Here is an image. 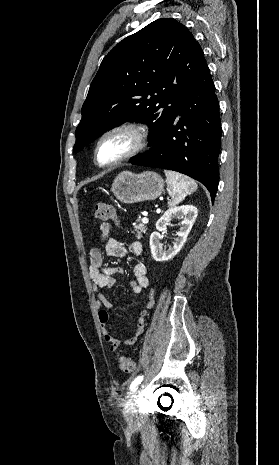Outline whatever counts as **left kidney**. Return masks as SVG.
<instances>
[{"mask_svg": "<svg viewBox=\"0 0 279 465\" xmlns=\"http://www.w3.org/2000/svg\"><path fill=\"white\" fill-rule=\"evenodd\" d=\"M198 210L193 205L174 206L169 208L156 222L158 232H153L150 236V249L154 260L158 262L168 261L173 258L183 247L190 233L192 226L197 218ZM173 218L183 219L174 245L168 250H163L160 240V232L166 229V226Z\"/></svg>", "mask_w": 279, "mask_h": 465, "instance_id": "left-kidney-1", "label": "left kidney"}]
</instances>
